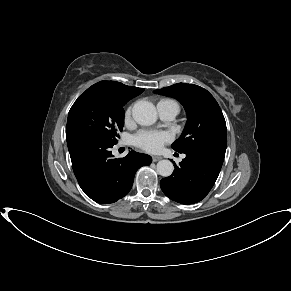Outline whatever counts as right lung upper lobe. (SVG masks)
Segmentation results:
<instances>
[{
    "label": "right lung upper lobe",
    "instance_id": "obj_1",
    "mask_svg": "<svg viewBox=\"0 0 291 291\" xmlns=\"http://www.w3.org/2000/svg\"><path fill=\"white\" fill-rule=\"evenodd\" d=\"M90 88L105 91L115 98L126 101H129L144 91L143 88L126 86L120 82L115 81H100L92 85Z\"/></svg>",
    "mask_w": 291,
    "mask_h": 291
}]
</instances>
